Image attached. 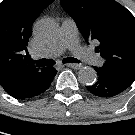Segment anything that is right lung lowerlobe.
Here are the masks:
<instances>
[{"instance_id":"98d812e1","label":"right lung lower lobe","mask_w":135,"mask_h":135,"mask_svg":"<svg viewBox=\"0 0 135 135\" xmlns=\"http://www.w3.org/2000/svg\"><path fill=\"white\" fill-rule=\"evenodd\" d=\"M57 70L47 67L39 72H28L18 76L16 81L3 89L12 97L28 100L44 93L50 86Z\"/></svg>"}]
</instances>
